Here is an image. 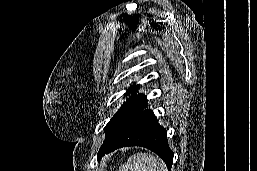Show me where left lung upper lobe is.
Wrapping results in <instances>:
<instances>
[{"instance_id": "left-lung-upper-lobe-1", "label": "left lung upper lobe", "mask_w": 257, "mask_h": 171, "mask_svg": "<svg viewBox=\"0 0 257 171\" xmlns=\"http://www.w3.org/2000/svg\"><path fill=\"white\" fill-rule=\"evenodd\" d=\"M137 88L138 85H133L125 95L137 91ZM146 103L147 99L143 94H135L129 98L104 128L105 140L103 144L116 138L123 130H125L134 118L143 110Z\"/></svg>"}]
</instances>
